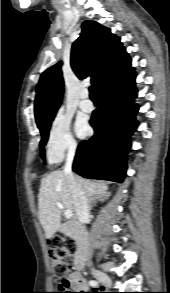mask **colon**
I'll return each mask as SVG.
<instances>
[{"mask_svg":"<svg viewBox=\"0 0 170 293\" xmlns=\"http://www.w3.org/2000/svg\"><path fill=\"white\" fill-rule=\"evenodd\" d=\"M48 245L52 248L51 263L54 276L58 279V292L67 293L72 287V281L68 279L67 273L70 268L69 258L76 251L75 241L67 237H55L48 241Z\"/></svg>","mask_w":170,"mask_h":293,"instance_id":"5ec220e1","label":"colon"}]
</instances>
